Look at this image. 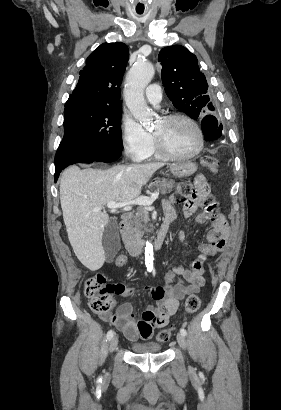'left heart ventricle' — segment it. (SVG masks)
Segmentation results:
<instances>
[{
  "mask_svg": "<svg viewBox=\"0 0 281 410\" xmlns=\"http://www.w3.org/2000/svg\"><path fill=\"white\" fill-rule=\"evenodd\" d=\"M153 134L157 135L174 154H190L197 149L199 144L195 128L182 119L167 123L160 120Z\"/></svg>",
  "mask_w": 281,
  "mask_h": 410,
  "instance_id": "obj_1",
  "label": "left heart ventricle"
}]
</instances>
